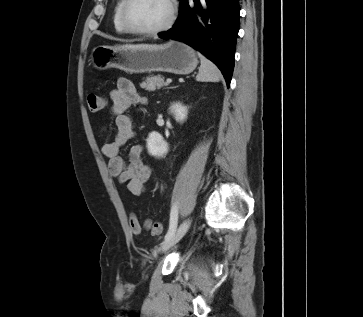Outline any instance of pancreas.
I'll use <instances>...</instances> for the list:
<instances>
[{
  "instance_id": "pancreas-1",
  "label": "pancreas",
  "mask_w": 363,
  "mask_h": 317,
  "mask_svg": "<svg viewBox=\"0 0 363 317\" xmlns=\"http://www.w3.org/2000/svg\"><path fill=\"white\" fill-rule=\"evenodd\" d=\"M166 85L167 83L164 81V77H162L161 75H151L148 76L145 81L140 84V87L148 91H155L156 89H160Z\"/></svg>"
}]
</instances>
